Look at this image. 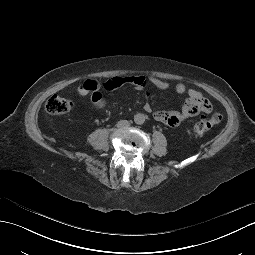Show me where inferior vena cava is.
Instances as JSON below:
<instances>
[{
  "label": "inferior vena cava",
  "instance_id": "obj_1",
  "mask_svg": "<svg viewBox=\"0 0 255 255\" xmlns=\"http://www.w3.org/2000/svg\"><path fill=\"white\" fill-rule=\"evenodd\" d=\"M120 126H129V122L127 120L119 121Z\"/></svg>",
  "mask_w": 255,
  "mask_h": 255
}]
</instances>
